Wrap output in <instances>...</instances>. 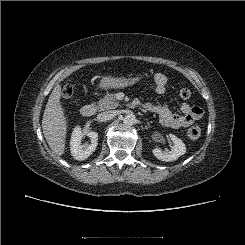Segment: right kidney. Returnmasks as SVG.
Returning <instances> with one entry per match:
<instances>
[{
    "instance_id": "1",
    "label": "right kidney",
    "mask_w": 245,
    "mask_h": 245,
    "mask_svg": "<svg viewBox=\"0 0 245 245\" xmlns=\"http://www.w3.org/2000/svg\"><path fill=\"white\" fill-rule=\"evenodd\" d=\"M87 135L90 144H82L81 141ZM98 142V133L95 131L82 132L79 126L75 127L71 136L70 150L76 160L87 159L96 149Z\"/></svg>"
}]
</instances>
